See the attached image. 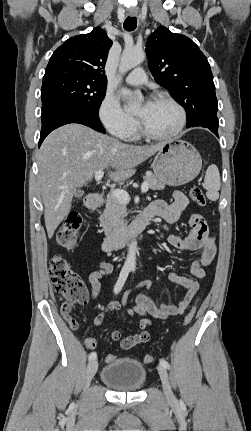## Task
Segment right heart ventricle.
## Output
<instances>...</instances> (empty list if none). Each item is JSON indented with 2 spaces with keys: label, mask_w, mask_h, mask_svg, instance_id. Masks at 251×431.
<instances>
[{
  "label": "right heart ventricle",
  "mask_w": 251,
  "mask_h": 431,
  "mask_svg": "<svg viewBox=\"0 0 251 431\" xmlns=\"http://www.w3.org/2000/svg\"><path fill=\"white\" fill-rule=\"evenodd\" d=\"M136 137V134L134 133L130 138H135Z\"/></svg>",
  "instance_id": "1"
}]
</instances>
